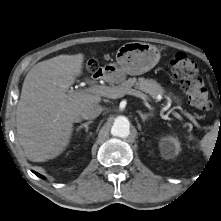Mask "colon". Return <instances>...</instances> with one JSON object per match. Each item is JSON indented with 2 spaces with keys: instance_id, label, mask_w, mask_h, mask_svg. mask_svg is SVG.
I'll return each instance as SVG.
<instances>
[{
  "instance_id": "colon-1",
  "label": "colon",
  "mask_w": 221,
  "mask_h": 221,
  "mask_svg": "<svg viewBox=\"0 0 221 221\" xmlns=\"http://www.w3.org/2000/svg\"><path fill=\"white\" fill-rule=\"evenodd\" d=\"M98 67L99 65L94 59L86 63V69L90 73L97 71ZM171 68L191 105L199 110H210L212 102L205 84L198 74L196 63L186 54L177 53L171 61Z\"/></svg>"
}]
</instances>
